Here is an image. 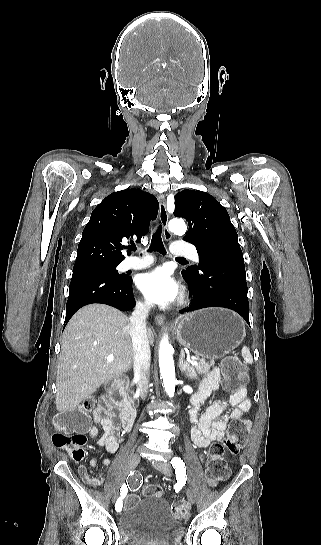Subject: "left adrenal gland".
Returning <instances> with one entry per match:
<instances>
[{"label":"left adrenal gland","mask_w":321,"mask_h":545,"mask_svg":"<svg viewBox=\"0 0 321 545\" xmlns=\"http://www.w3.org/2000/svg\"><path fill=\"white\" fill-rule=\"evenodd\" d=\"M179 367L180 371L182 373H185L189 379H195V371L194 367H191L187 361H184V351H181L180 359H179Z\"/></svg>","instance_id":"a2214340"}]
</instances>
